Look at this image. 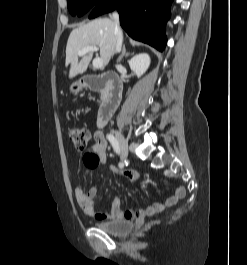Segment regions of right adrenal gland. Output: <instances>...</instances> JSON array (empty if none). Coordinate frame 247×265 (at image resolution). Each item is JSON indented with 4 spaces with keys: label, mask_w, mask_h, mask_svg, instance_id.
<instances>
[{
    "label": "right adrenal gland",
    "mask_w": 247,
    "mask_h": 265,
    "mask_svg": "<svg viewBox=\"0 0 247 265\" xmlns=\"http://www.w3.org/2000/svg\"><path fill=\"white\" fill-rule=\"evenodd\" d=\"M130 55H131V53H129V52L126 51V47H125V45H124V46H123V50H122V54H121L120 57L118 58L117 62L120 63V62L122 61L123 57H128V56H130Z\"/></svg>",
    "instance_id": "obj_1"
}]
</instances>
